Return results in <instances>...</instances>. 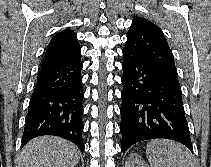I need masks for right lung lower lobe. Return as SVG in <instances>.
<instances>
[{"label": "right lung lower lobe", "mask_w": 211, "mask_h": 167, "mask_svg": "<svg viewBox=\"0 0 211 167\" xmlns=\"http://www.w3.org/2000/svg\"><path fill=\"white\" fill-rule=\"evenodd\" d=\"M80 58L40 69L25 118L22 147L35 137L54 135L84 151Z\"/></svg>", "instance_id": "right-lung-lower-lobe-1"}]
</instances>
